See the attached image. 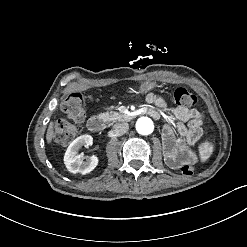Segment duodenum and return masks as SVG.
<instances>
[{
    "label": "duodenum",
    "mask_w": 247,
    "mask_h": 247,
    "mask_svg": "<svg viewBox=\"0 0 247 247\" xmlns=\"http://www.w3.org/2000/svg\"><path fill=\"white\" fill-rule=\"evenodd\" d=\"M87 127L92 132H100L105 127V121L100 116H92L87 121Z\"/></svg>",
    "instance_id": "duodenum-1"
}]
</instances>
